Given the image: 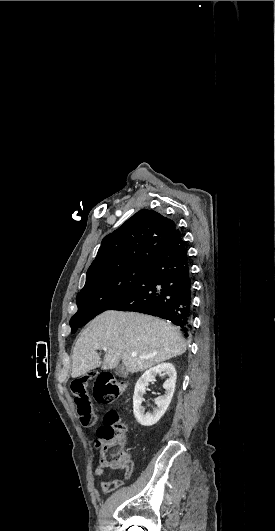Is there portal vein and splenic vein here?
Here are the masks:
<instances>
[{"label":"portal vein and splenic vein","instance_id":"1","mask_svg":"<svg viewBox=\"0 0 275 531\" xmlns=\"http://www.w3.org/2000/svg\"><path fill=\"white\" fill-rule=\"evenodd\" d=\"M103 351H107V349H103ZM131 357H137V353H131ZM139 359H143V357H139Z\"/></svg>","mask_w":275,"mask_h":531}]
</instances>
